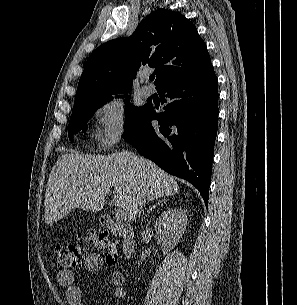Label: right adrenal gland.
I'll return each mask as SVG.
<instances>
[{
  "label": "right adrenal gland",
  "instance_id": "2a0ac1e0",
  "mask_svg": "<svg viewBox=\"0 0 297 305\" xmlns=\"http://www.w3.org/2000/svg\"><path fill=\"white\" fill-rule=\"evenodd\" d=\"M164 201H166V198H162L159 199L153 206H151V208L147 211L146 215L144 218H146L149 214H151V212L157 207L159 206L161 203H163Z\"/></svg>",
  "mask_w": 297,
  "mask_h": 305
}]
</instances>
